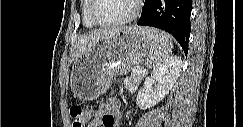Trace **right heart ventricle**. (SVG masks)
<instances>
[{"label": "right heart ventricle", "mask_w": 243, "mask_h": 127, "mask_svg": "<svg viewBox=\"0 0 243 127\" xmlns=\"http://www.w3.org/2000/svg\"><path fill=\"white\" fill-rule=\"evenodd\" d=\"M89 7H90V0H83L81 4L83 24L86 28L92 29L95 28L97 25L94 24L89 17Z\"/></svg>", "instance_id": "1"}]
</instances>
